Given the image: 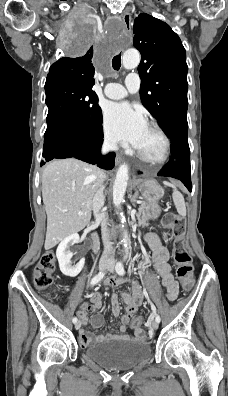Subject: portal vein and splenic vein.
I'll list each match as a JSON object with an SVG mask.
<instances>
[{
  "instance_id": "1",
  "label": "portal vein and splenic vein",
  "mask_w": 228,
  "mask_h": 396,
  "mask_svg": "<svg viewBox=\"0 0 228 396\" xmlns=\"http://www.w3.org/2000/svg\"><path fill=\"white\" fill-rule=\"evenodd\" d=\"M78 215H83V212H82V211H79V212H78Z\"/></svg>"
}]
</instances>
